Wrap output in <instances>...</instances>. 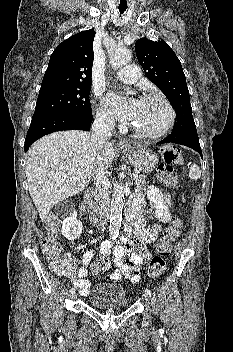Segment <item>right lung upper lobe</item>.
I'll return each mask as SVG.
<instances>
[{"label": "right lung upper lobe", "instance_id": "cb5924a9", "mask_svg": "<svg viewBox=\"0 0 233 352\" xmlns=\"http://www.w3.org/2000/svg\"><path fill=\"white\" fill-rule=\"evenodd\" d=\"M94 30L77 33L53 51L41 87L91 85Z\"/></svg>", "mask_w": 233, "mask_h": 352}]
</instances>
